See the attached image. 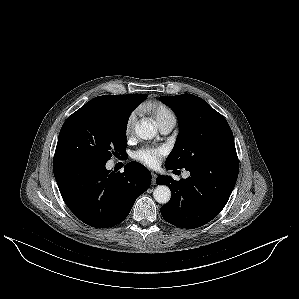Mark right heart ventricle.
<instances>
[{
  "label": "right heart ventricle",
  "instance_id": "right-heart-ventricle-1",
  "mask_svg": "<svg viewBox=\"0 0 299 299\" xmlns=\"http://www.w3.org/2000/svg\"><path fill=\"white\" fill-rule=\"evenodd\" d=\"M158 125L168 120H175V115L167 106L161 103H154L149 108Z\"/></svg>",
  "mask_w": 299,
  "mask_h": 299
}]
</instances>
